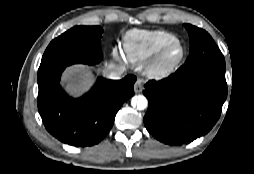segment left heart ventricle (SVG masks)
I'll use <instances>...</instances> for the list:
<instances>
[{
  "label": "left heart ventricle",
  "instance_id": "left-heart-ventricle-1",
  "mask_svg": "<svg viewBox=\"0 0 254 174\" xmlns=\"http://www.w3.org/2000/svg\"><path fill=\"white\" fill-rule=\"evenodd\" d=\"M180 54V48L179 47H175L173 48L167 55V59L168 60H174L176 59Z\"/></svg>",
  "mask_w": 254,
  "mask_h": 174
}]
</instances>
